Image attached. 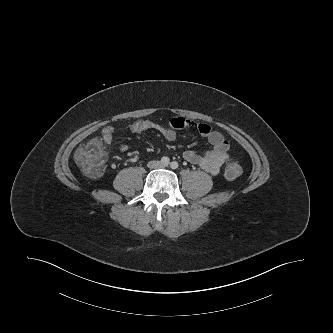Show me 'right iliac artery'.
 Returning <instances> with one entry per match:
<instances>
[{
    "label": "right iliac artery",
    "mask_w": 333,
    "mask_h": 333,
    "mask_svg": "<svg viewBox=\"0 0 333 333\" xmlns=\"http://www.w3.org/2000/svg\"><path fill=\"white\" fill-rule=\"evenodd\" d=\"M161 163L166 166L170 163V159L164 156L161 158Z\"/></svg>",
    "instance_id": "right-iliac-artery-1"
}]
</instances>
